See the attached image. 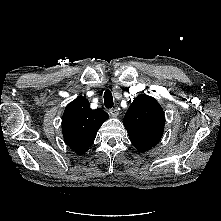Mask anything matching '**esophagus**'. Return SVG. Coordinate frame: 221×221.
Listing matches in <instances>:
<instances>
[{"instance_id":"obj_1","label":"esophagus","mask_w":221,"mask_h":221,"mask_svg":"<svg viewBox=\"0 0 221 221\" xmlns=\"http://www.w3.org/2000/svg\"><path fill=\"white\" fill-rule=\"evenodd\" d=\"M109 113L111 114L112 117H117L119 114V111L117 108H112L109 110Z\"/></svg>"}]
</instances>
